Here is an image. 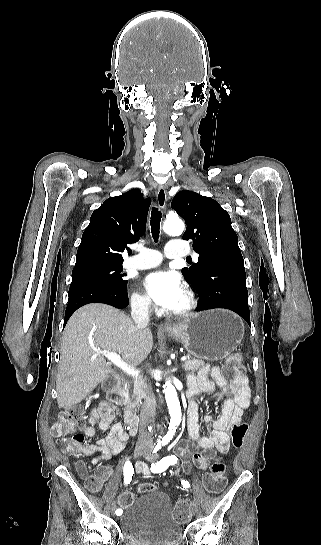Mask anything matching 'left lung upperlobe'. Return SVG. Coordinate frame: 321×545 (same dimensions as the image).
Returning <instances> with one entry per match:
<instances>
[{"instance_id":"1","label":"left lung upper lobe","mask_w":321,"mask_h":545,"mask_svg":"<svg viewBox=\"0 0 321 545\" xmlns=\"http://www.w3.org/2000/svg\"><path fill=\"white\" fill-rule=\"evenodd\" d=\"M171 206L187 224L183 239H192L193 249L199 254L197 263L182 269V274L193 286L217 260L242 256L230 216L218 202L184 190L175 195Z\"/></svg>"}]
</instances>
